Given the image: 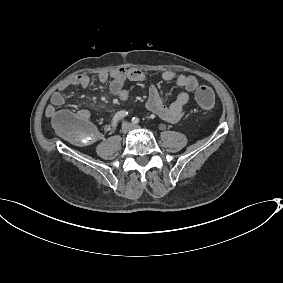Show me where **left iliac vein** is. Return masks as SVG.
<instances>
[{
    "label": "left iliac vein",
    "instance_id": "obj_1",
    "mask_svg": "<svg viewBox=\"0 0 283 283\" xmlns=\"http://www.w3.org/2000/svg\"><path fill=\"white\" fill-rule=\"evenodd\" d=\"M132 128L133 129H137V128H139V126L138 125H133Z\"/></svg>",
    "mask_w": 283,
    "mask_h": 283
}]
</instances>
